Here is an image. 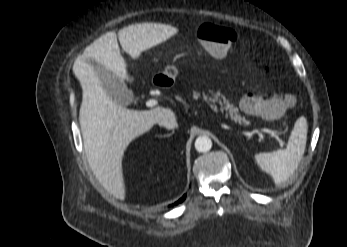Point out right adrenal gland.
Returning <instances> with one entry per match:
<instances>
[{
  "instance_id": "right-adrenal-gland-1",
  "label": "right adrenal gland",
  "mask_w": 347,
  "mask_h": 247,
  "mask_svg": "<svg viewBox=\"0 0 347 247\" xmlns=\"http://www.w3.org/2000/svg\"><path fill=\"white\" fill-rule=\"evenodd\" d=\"M173 133H174V131L172 132V133H169V134H166V135H160V136H158V137H163V138H166V137H170V136H172L173 135Z\"/></svg>"
}]
</instances>
